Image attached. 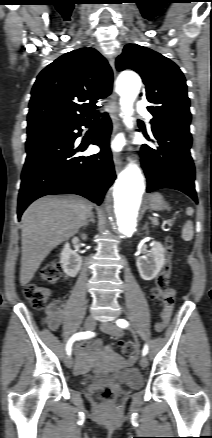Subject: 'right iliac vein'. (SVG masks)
Segmentation results:
<instances>
[{
    "instance_id": "obj_1",
    "label": "right iliac vein",
    "mask_w": 212,
    "mask_h": 438,
    "mask_svg": "<svg viewBox=\"0 0 212 438\" xmlns=\"http://www.w3.org/2000/svg\"><path fill=\"white\" fill-rule=\"evenodd\" d=\"M95 327H96V320H95V318L92 317V316L87 317L85 319V321H84V329H86V330H94ZM65 365L68 368H71L73 366V360H72V358L70 356H67L65 358Z\"/></svg>"
}]
</instances>
